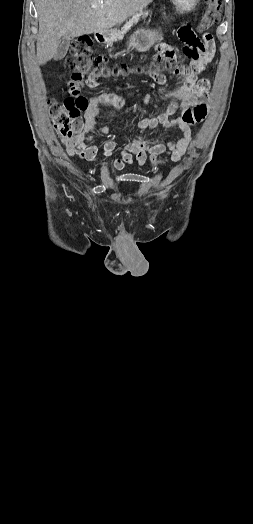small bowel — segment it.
Returning <instances> with one entry per match:
<instances>
[{
  "label": "small bowel",
  "mask_w": 253,
  "mask_h": 524,
  "mask_svg": "<svg viewBox=\"0 0 253 524\" xmlns=\"http://www.w3.org/2000/svg\"><path fill=\"white\" fill-rule=\"evenodd\" d=\"M176 38L182 45L181 55L190 65L186 67L183 64L177 65V52L162 39L156 44L157 54L152 58L149 64L147 74L155 86L161 84L170 85L172 80L166 79L164 71L160 66L165 68L167 74L178 76L177 86L169 88L160 94L161 98L173 97L165 109L157 115L149 118H143L138 122L139 134L137 137L127 142L121 151V157L112 161L116 169H122L126 164H132L134 157L137 165L145 163L147 157L157 156L166 150H171L177 155L178 160L186 151L191 135L190 120L192 107L203 105L209 98V82L207 79L199 78V74L207 67L211 61L216 46L211 34H201L196 29H192L190 24H181L176 31ZM159 61V63H157ZM156 63V64H155ZM166 79V80H165ZM153 96L147 94L142 97L141 102L148 104ZM126 100L116 94L101 93L92 97L89 101L88 108L85 112V125L77 138L71 142L66 151L69 156H79L90 162L97 161V147L89 144L95 136L99 141L107 140L111 130L107 126H98L96 123L100 115L101 106L107 105L115 109H121L125 106ZM179 112L178 117L171 118L172 115ZM167 129H176L181 133L177 140L166 142L163 138L154 141H147L143 134L147 129H154L157 126ZM119 138H112L105 142L103 155L105 158H111Z\"/></svg>",
  "instance_id": "c3829d8e"
}]
</instances>
